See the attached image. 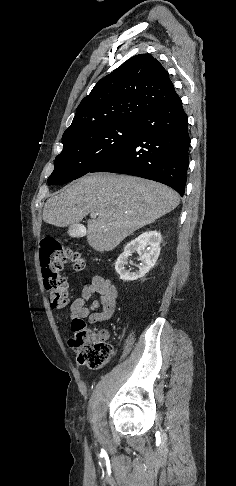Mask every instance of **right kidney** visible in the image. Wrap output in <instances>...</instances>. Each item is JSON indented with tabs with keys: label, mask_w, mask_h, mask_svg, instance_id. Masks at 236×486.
Wrapping results in <instances>:
<instances>
[{
	"label": "right kidney",
	"mask_w": 236,
	"mask_h": 486,
	"mask_svg": "<svg viewBox=\"0 0 236 486\" xmlns=\"http://www.w3.org/2000/svg\"><path fill=\"white\" fill-rule=\"evenodd\" d=\"M161 240L162 237L159 232L148 231L129 242L115 263V269L120 279L123 281H134L144 277L155 265L159 257ZM135 251L139 254L140 267L136 272H129L125 270V265L128 257Z\"/></svg>",
	"instance_id": "1"
}]
</instances>
